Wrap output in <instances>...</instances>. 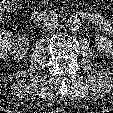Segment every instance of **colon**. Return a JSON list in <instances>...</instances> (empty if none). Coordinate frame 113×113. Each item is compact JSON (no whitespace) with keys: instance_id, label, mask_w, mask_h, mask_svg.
Returning <instances> with one entry per match:
<instances>
[{"instance_id":"5ec220e1","label":"colon","mask_w":113,"mask_h":113,"mask_svg":"<svg viewBox=\"0 0 113 113\" xmlns=\"http://www.w3.org/2000/svg\"><path fill=\"white\" fill-rule=\"evenodd\" d=\"M9 0H0L1 7ZM14 32L8 27H0V58L3 57L12 46Z\"/></svg>"}]
</instances>
